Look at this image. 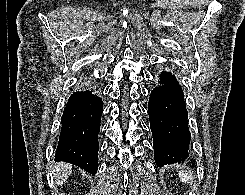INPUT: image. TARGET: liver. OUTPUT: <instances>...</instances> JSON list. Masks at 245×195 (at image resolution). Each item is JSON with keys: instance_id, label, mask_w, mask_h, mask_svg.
Here are the masks:
<instances>
[{"instance_id": "obj_1", "label": "liver", "mask_w": 245, "mask_h": 195, "mask_svg": "<svg viewBox=\"0 0 245 195\" xmlns=\"http://www.w3.org/2000/svg\"><path fill=\"white\" fill-rule=\"evenodd\" d=\"M72 165L68 163H58L55 166V176L58 185L63 184L71 174Z\"/></svg>"}]
</instances>
